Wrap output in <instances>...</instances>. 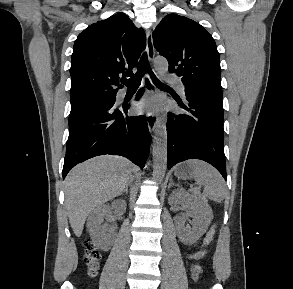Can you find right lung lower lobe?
I'll list each match as a JSON object with an SVG mask.
<instances>
[{
    "label": "right lung lower lobe",
    "instance_id": "1",
    "mask_svg": "<svg viewBox=\"0 0 293 289\" xmlns=\"http://www.w3.org/2000/svg\"><path fill=\"white\" fill-rule=\"evenodd\" d=\"M143 93L140 89L137 100ZM129 105H115V100L69 119V137L63 166V178L79 162L92 157L122 155L143 168L148 157L151 136L143 116L129 117Z\"/></svg>",
    "mask_w": 293,
    "mask_h": 289
}]
</instances>
